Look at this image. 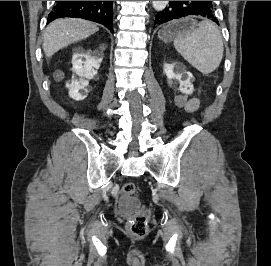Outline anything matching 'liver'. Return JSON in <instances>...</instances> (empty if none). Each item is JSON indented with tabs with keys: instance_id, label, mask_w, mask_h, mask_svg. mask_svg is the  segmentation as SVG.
Instances as JSON below:
<instances>
[{
	"instance_id": "6515ba94",
	"label": "liver",
	"mask_w": 271,
	"mask_h": 266,
	"mask_svg": "<svg viewBox=\"0 0 271 266\" xmlns=\"http://www.w3.org/2000/svg\"><path fill=\"white\" fill-rule=\"evenodd\" d=\"M99 30L96 24L82 19L62 18L51 22L45 31L43 51L50 57L60 49L83 40Z\"/></svg>"
}]
</instances>
